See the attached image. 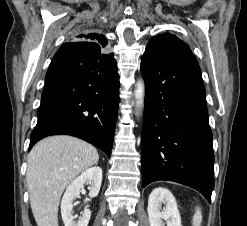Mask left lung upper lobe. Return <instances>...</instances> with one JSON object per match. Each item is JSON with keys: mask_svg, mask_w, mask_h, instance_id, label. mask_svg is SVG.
Returning a JSON list of instances; mask_svg holds the SVG:
<instances>
[{"mask_svg": "<svg viewBox=\"0 0 247 226\" xmlns=\"http://www.w3.org/2000/svg\"><path fill=\"white\" fill-rule=\"evenodd\" d=\"M146 50H154L172 54L188 53L192 54L188 45L170 33H163L153 37L146 47Z\"/></svg>", "mask_w": 247, "mask_h": 226, "instance_id": "1", "label": "left lung upper lobe"}]
</instances>
